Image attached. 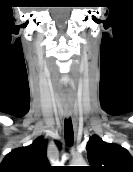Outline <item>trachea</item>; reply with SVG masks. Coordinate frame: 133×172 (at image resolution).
<instances>
[{"instance_id":"1","label":"trachea","mask_w":133,"mask_h":172,"mask_svg":"<svg viewBox=\"0 0 133 172\" xmlns=\"http://www.w3.org/2000/svg\"><path fill=\"white\" fill-rule=\"evenodd\" d=\"M64 137L68 146H71L74 140L73 126L71 119H66L64 122Z\"/></svg>"}]
</instances>
